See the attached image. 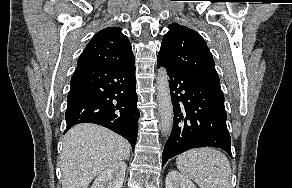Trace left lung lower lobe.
<instances>
[{
  "label": "left lung lower lobe",
  "mask_w": 292,
  "mask_h": 188,
  "mask_svg": "<svg viewBox=\"0 0 292 188\" xmlns=\"http://www.w3.org/2000/svg\"><path fill=\"white\" fill-rule=\"evenodd\" d=\"M159 65L163 64L158 61ZM166 69L174 124L164 147L162 166L169 158L196 147H218L231 155L221 87L173 68Z\"/></svg>",
  "instance_id": "0a47b994"
}]
</instances>
